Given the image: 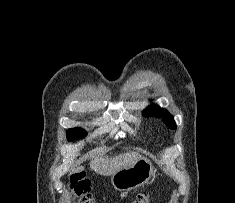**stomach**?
<instances>
[{
	"label": "stomach",
	"mask_w": 235,
	"mask_h": 203,
	"mask_svg": "<svg viewBox=\"0 0 235 203\" xmlns=\"http://www.w3.org/2000/svg\"><path fill=\"white\" fill-rule=\"evenodd\" d=\"M153 172L152 163L146 158L140 157L135 164L113 173L111 183L116 190L130 191L147 183Z\"/></svg>",
	"instance_id": "obj_1"
}]
</instances>
